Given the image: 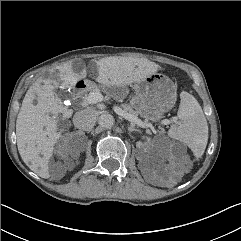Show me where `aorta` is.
I'll use <instances>...</instances> for the list:
<instances>
[{"label": "aorta", "instance_id": "aorta-1", "mask_svg": "<svg viewBox=\"0 0 241 241\" xmlns=\"http://www.w3.org/2000/svg\"><path fill=\"white\" fill-rule=\"evenodd\" d=\"M114 117L109 113H102L98 118V124L102 128L110 129L114 125Z\"/></svg>", "mask_w": 241, "mask_h": 241}]
</instances>
